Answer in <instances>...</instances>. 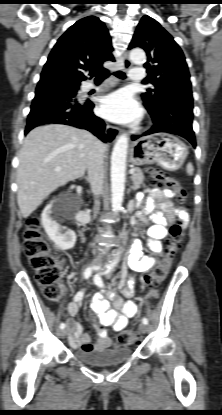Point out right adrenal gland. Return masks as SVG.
I'll list each match as a JSON object with an SVG mask.
<instances>
[{
  "label": "right adrenal gland",
  "mask_w": 222,
  "mask_h": 415,
  "mask_svg": "<svg viewBox=\"0 0 222 415\" xmlns=\"http://www.w3.org/2000/svg\"><path fill=\"white\" fill-rule=\"evenodd\" d=\"M84 179H85V181H86V182H89V179H88V177H84Z\"/></svg>",
  "instance_id": "right-adrenal-gland-1"
}]
</instances>
